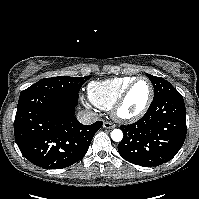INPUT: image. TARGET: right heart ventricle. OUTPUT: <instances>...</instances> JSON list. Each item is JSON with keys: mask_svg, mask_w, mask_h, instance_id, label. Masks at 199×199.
<instances>
[{"mask_svg": "<svg viewBox=\"0 0 199 199\" xmlns=\"http://www.w3.org/2000/svg\"><path fill=\"white\" fill-rule=\"evenodd\" d=\"M133 79V77H117L91 82L87 89L88 97L96 107L110 109Z\"/></svg>", "mask_w": 199, "mask_h": 199, "instance_id": "right-heart-ventricle-1", "label": "right heart ventricle"}]
</instances>
